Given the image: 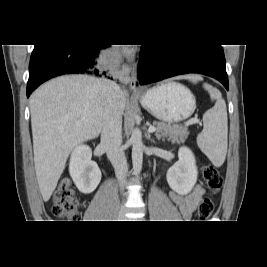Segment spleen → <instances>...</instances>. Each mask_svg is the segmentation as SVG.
<instances>
[{"label":"spleen","instance_id":"obj_1","mask_svg":"<svg viewBox=\"0 0 267 267\" xmlns=\"http://www.w3.org/2000/svg\"><path fill=\"white\" fill-rule=\"evenodd\" d=\"M204 88L209 92L214 107L203 115L204 128L197 136V144L201 151L216 167H220L227 153L228 121L226 103L221 92L205 83Z\"/></svg>","mask_w":267,"mask_h":267}]
</instances>
